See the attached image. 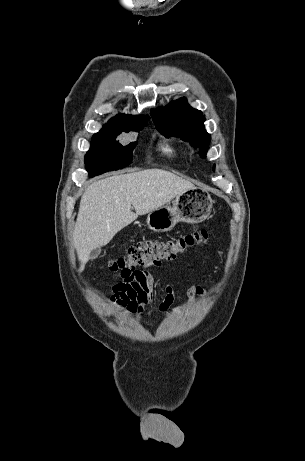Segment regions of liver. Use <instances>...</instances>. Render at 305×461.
<instances>
[{"label":"liver","instance_id":"liver-1","mask_svg":"<svg viewBox=\"0 0 305 461\" xmlns=\"http://www.w3.org/2000/svg\"><path fill=\"white\" fill-rule=\"evenodd\" d=\"M195 186L162 169L115 175L91 184L82 195L73 240L82 272L90 253L117 232ZM134 207L135 213L131 211Z\"/></svg>","mask_w":305,"mask_h":461}]
</instances>
